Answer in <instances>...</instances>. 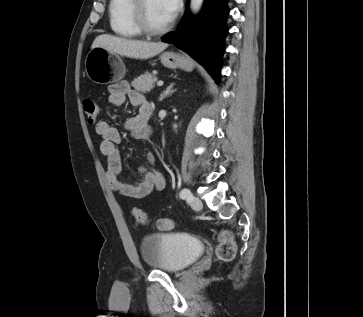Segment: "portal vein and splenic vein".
<instances>
[{"label": "portal vein and splenic vein", "mask_w": 363, "mask_h": 317, "mask_svg": "<svg viewBox=\"0 0 363 317\" xmlns=\"http://www.w3.org/2000/svg\"><path fill=\"white\" fill-rule=\"evenodd\" d=\"M163 85V81H158L157 82V86H162Z\"/></svg>", "instance_id": "portal-vein-and-splenic-vein-1"}]
</instances>
